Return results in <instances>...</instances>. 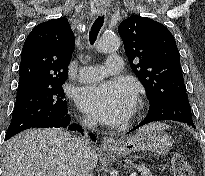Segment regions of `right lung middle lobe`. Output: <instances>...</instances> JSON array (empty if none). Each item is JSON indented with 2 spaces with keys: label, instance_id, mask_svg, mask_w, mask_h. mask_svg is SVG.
<instances>
[{
  "label": "right lung middle lobe",
  "instance_id": "right-lung-middle-lobe-1",
  "mask_svg": "<svg viewBox=\"0 0 205 176\" xmlns=\"http://www.w3.org/2000/svg\"><path fill=\"white\" fill-rule=\"evenodd\" d=\"M62 85L33 89L17 94L10 126L5 135L8 140L17 133L52 119L68 114Z\"/></svg>",
  "mask_w": 205,
  "mask_h": 176
}]
</instances>
